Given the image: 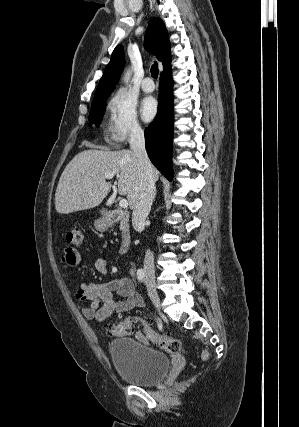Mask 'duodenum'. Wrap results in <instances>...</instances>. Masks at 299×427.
I'll use <instances>...</instances> for the list:
<instances>
[{"label": "duodenum", "instance_id": "410a0bca", "mask_svg": "<svg viewBox=\"0 0 299 427\" xmlns=\"http://www.w3.org/2000/svg\"><path fill=\"white\" fill-rule=\"evenodd\" d=\"M129 214L126 211L122 210H112L108 213L107 216V224L108 225H114L119 222H126L128 221ZM130 248V239L127 236H123L120 247H119V254L121 256H124L127 254Z\"/></svg>", "mask_w": 299, "mask_h": 427}]
</instances>
